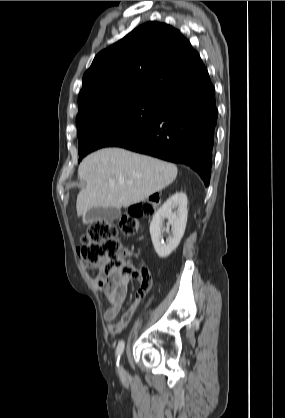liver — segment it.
Segmentation results:
<instances>
[{
    "mask_svg": "<svg viewBox=\"0 0 285 418\" xmlns=\"http://www.w3.org/2000/svg\"><path fill=\"white\" fill-rule=\"evenodd\" d=\"M174 164L130 152L105 148L88 155L78 175L86 181L76 201L78 216L95 207H129L171 184L177 176Z\"/></svg>",
    "mask_w": 285,
    "mask_h": 418,
    "instance_id": "1",
    "label": "liver"
}]
</instances>
